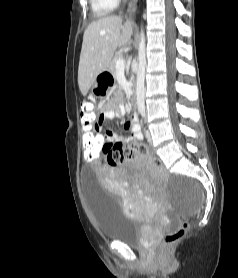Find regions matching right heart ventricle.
I'll return each mask as SVG.
<instances>
[{"label": "right heart ventricle", "instance_id": "1", "mask_svg": "<svg viewBox=\"0 0 238 278\" xmlns=\"http://www.w3.org/2000/svg\"><path fill=\"white\" fill-rule=\"evenodd\" d=\"M90 5L94 16L99 18L111 13L117 5V0H90Z\"/></svg>", "mask_w": 238, "mask_h": 278}]
</instances>
